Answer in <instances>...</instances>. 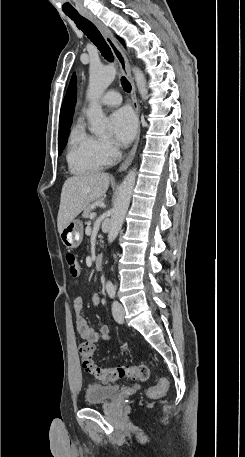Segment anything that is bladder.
Wrapping results in <instances>:
<instances>
[{"label": "bladder", "instance_id": "31cf9c89", "mask_svg": "<svg viewBox=\"0 0 245 457\" xmlns=\"http://www.w3.org/2000/svg\"><path fill=\"white\" fill-rule=\"evenodd\" d=\"M118 386L88 384L86 389V405H94L110 401L116 395Z\"/></svg>", "mask_w": 245, "mask_h": 457}]
</instances>
